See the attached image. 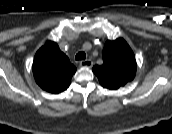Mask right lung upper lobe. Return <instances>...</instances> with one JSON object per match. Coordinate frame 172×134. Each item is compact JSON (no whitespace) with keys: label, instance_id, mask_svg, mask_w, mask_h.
I'll return each instance as SVG.
<instances>
[{"label":"right lung upper lobe","instance_id":"1","mask_svg":"<svg viewBox=\"0 0 172 134\" xmlns=\"http://www.w3.org/2000/svg\"><path fill=\"white\" fill-rule=\"evenodd\" d=\"M32 70L36 83L43 90L58 94L69 87L76 67L60 51L57 43L47 41L36 52Z\"/></svg>","mask_w":172,"mask_h":134}]
</instances>
